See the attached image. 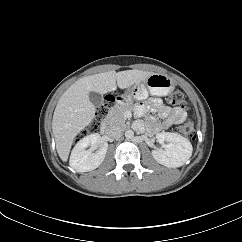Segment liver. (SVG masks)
<instances>
[{"mask_svg":"<svg viewBox=\"0 0 242 242\" xmlns=\"http://www.w3.org/2000/svg\"><path fill=\"white\" fill-rule=\"evenodd\" d=\"M151 74L141 70L108 71L83 77L72 84L60 97L52 120L60 158L67 161L75 136L94 118L95 107L88 96L91 90L103 94L115 90L116 84L122 89L128 88L135 81L144 80Z\"/></svg>","mask_w":242,"mask_h":242,"instance_id":"obj_1","label":"liver"}]
</instances>
